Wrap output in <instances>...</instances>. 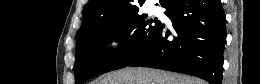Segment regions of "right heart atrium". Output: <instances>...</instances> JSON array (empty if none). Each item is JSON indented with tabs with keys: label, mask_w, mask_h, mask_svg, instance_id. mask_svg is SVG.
Instances as JSON below:
<instances>
[{
	"label": "right heart atrium",
	"mask_w": 260,
	"mask_h": 84,
	"mask_svg": "<svg viewBox=\"0 0 260 84\" xmlns=\"http://www.w3.org/2000/svg\"><path fill=\"white\" fill-rule=\"evenodd\" d=\"M131 38V31L126 27L115 28L110 36L109 47L111 53L118 57L124 53Z\"/></svg>",
	"instance_id": "right-heart-atrium-1"
}]
</instances>
